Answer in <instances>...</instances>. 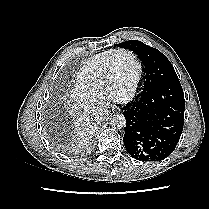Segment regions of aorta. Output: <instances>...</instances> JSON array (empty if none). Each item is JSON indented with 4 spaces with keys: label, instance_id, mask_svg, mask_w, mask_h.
Here are the masks:
<instances>
[{
    "label": "aorta",
    "instance_id": "1",
    "mask_svg": "<svg viewBox=\"0 0 209 209\" xmlns=\"http://www.w3.org/2000/svg\"><path fill=\"white\" fill-rule=\"evenodd\" d=\"M110 125L113 128H117V129L123 128L126 125L125 117L123 115H121V114L113 115L110 118Z\"/></svg>",
    "mask_w": 209,
    "mask_h": 209
}]
</instances>
